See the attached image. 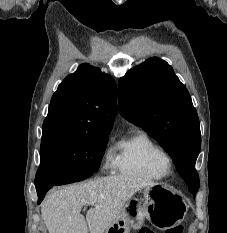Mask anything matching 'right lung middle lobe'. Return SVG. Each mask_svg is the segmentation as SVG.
Masks as SVG:
<instances>
[{"instance_id":"obj_1","label":"right lung middle lobe","mask_w":227,"mask_h":233,"mask_svg":"<svg viewBox=\"0 0 227 233\" xmlns=\"http://www.w3.org/2000/svg\"><path fill=\"white\" fill-rule=\"evenodd\" d=\"M109 133L55 131L43 134L36 190L92 176L99 169Z\"/></svg>"}]
</instances>
